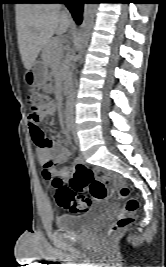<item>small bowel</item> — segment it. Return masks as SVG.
<instances>
[{
  "label": "small bowel",
  "mask_w": 166,
  "mask_h": 267,
  "mask_svg": "<svg viewBox=\"0 0 166 267\" xmlns=\"http://www.w3.org/2000/svg\"><path fill=\"white\" fill-rule=\"evenodd\" d=\"M57 109L56 104H52V106L47 109L44 113H42L38 119H34L33 117H29V129L31 132L32 139L37 147V155L40 161L44 163V167L46 165L56 166L62 164L66 157L68 156V151L62 146V144L59 142L62 138L61 132H56L54 134V138L56 141L49 140L45 138V143L40 144L37 142L35 137L36 130H41L39 127V123L48 116H52ZM45 137V136H44ZM53 170L50 172H47L44 169L43 175L44 178L50 179L52 176Z\"/></svg>",
  "instance_id": "c3829d8e"
}]
</instances>
